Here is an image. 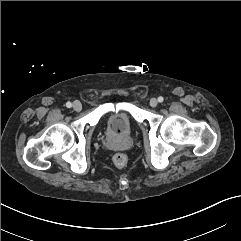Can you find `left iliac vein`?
Wrapping results in <instances>:
<instances>
[{"label":"left iliac vein","mask_w":241,"mask_h":241,"mask_svg":"<svg viewBox=\"0 0 241 241\" xmlns=\"http://www.w3.org/2000/svg\"><path fill=\"white\" fill-rule=\"evenodd\" d=\"M157 104H158V101H157L156 98H152V99L150 100V106H152V107H156Z\"/></svg>","instance_id":"1"}]
</instances>
